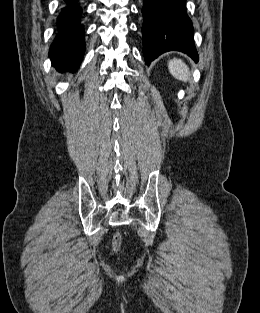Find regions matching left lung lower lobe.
Wrapping results in <instances>:
<instances>
[{
	"mask_svg": "<svg viewBox=\"0 0 260 313\" xmlns=\"http://www.w3.org/2000/svg\"><path fill=\"white\" fill-rule=\"evenodd\" d=\"M186 0H144L142 40L145 63L149 65L160 54L181 51L198 60Z\"/></svg>",
	"mask_w": 260,
	"mask_h": 313,
	"instance_id": "1",
	"label": "left lung lower lobe"
}]
</instances>
